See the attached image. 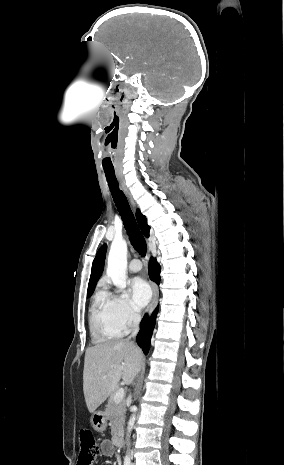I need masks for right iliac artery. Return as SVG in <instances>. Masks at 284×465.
<instances>
[{"mask_svg": "<svg viewBox=\"0 0 284 465\" xmlns=\"http://www.w3.org/2000/svg\"><path fill=\"white\" fill-rule=\"evenodd\" d=\"M124 465H130V460H129V459H125Z\"/></svg>", "mask_w": 284, "mask_h": 465, "instance_id": "obj_1", "label": "right iliac artery"}]
</instances>
